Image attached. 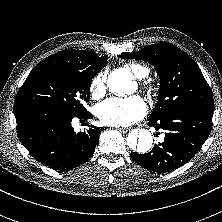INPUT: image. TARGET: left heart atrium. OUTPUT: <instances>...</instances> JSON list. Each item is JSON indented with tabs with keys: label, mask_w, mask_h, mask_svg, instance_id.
I'll return each mask as SVG.
<instances>
[{
	"label": "left heart atrium",
	"mask_w": 222,
	"mask_h": 222,
	"mask_svg": "<svg viewBox=\"0 0 222 222\" xmlns=\"http://www.w3.org/2000/svg\"><path fill=\"white\" fill-rule=\"evenodd\" d=\"M147 107L144 100L137 95L125 98H109L96 107L99 119L107 125L127 126L145 116Z\"/></svg>",
	"instance_id": "39dd6f15"
}]
</instances>
